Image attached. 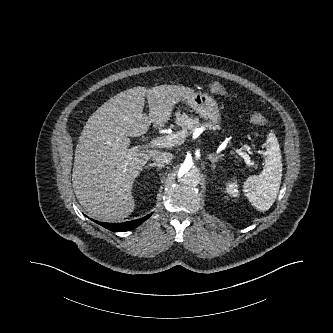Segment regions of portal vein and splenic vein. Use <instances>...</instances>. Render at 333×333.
<instances>
[{"mask_svg":"<svg viewBox=\"0 0 333 333\" xmlns=\"http://www.w3.org/2000/svg\"><path fill=\"white\" fill-rule=\"evenodd\" d=\"M185 135L183 132H178L176 134H171L168 136L158 137L156 139L151 140L146 146L150 148H168L174 145H180L183 142ZM141 146H136L134 150L138 151ZM236 152L245 160L248 166H251V160L248 154L245 152H241L240 150H236Z\"/></svg>","mask_w":333,"mask_h":333,"instance_id":"obj_1","label":"portal vein and splenic vein"}]
</instances>
